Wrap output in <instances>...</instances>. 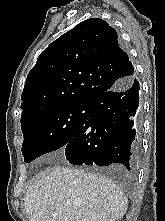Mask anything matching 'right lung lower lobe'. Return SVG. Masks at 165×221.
<instances>
[{"label":"right lung lower lobe","mask_w":165,"mask_h":221,"mask_svg":"<svg viewBox=\"0 0 165 221\" xmlns=\"http://www.w3.org/2000/svg\"><path fill=\"white\" fill-rule=\"evenodd\" d=\"M139 82L133 77L94 97L88 120L65 146L74 165L137 167L140 155Z\"/></svg>","instance_id":"98d812e1"}]
</instances>
